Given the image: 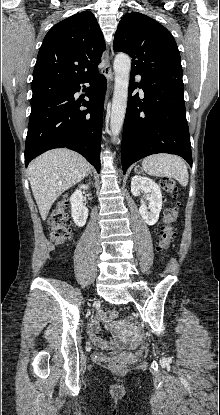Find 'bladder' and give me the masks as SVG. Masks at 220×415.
I'll return each instance as SVG.
<instances>
[{
    "label": "bladder",
    "instance_id": "bladder-1",
    "mask_svg": "<svg viewBox=\"0 0 220 415\" xmlns=\"http://www.w3.org/2000/svg\"><path fill=\"white\" fill-rule=\"evenodd\" d=\"M130 350L129 349H125V348H120L118 350H116V354H126L128 353Z\"/></svg>",
    "mask_w": 220,
    "mask_h": 415
}]
</instances>
